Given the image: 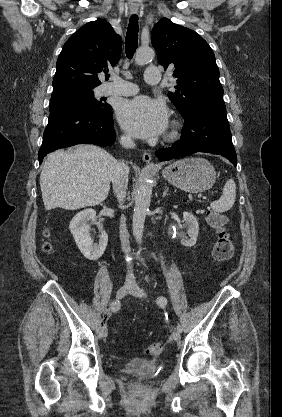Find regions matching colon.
<instances>
[{
    "label": "colon",
    "mask_w": 282,
    "mask_h": 417,
    "mask_svg": "<svg viewBox=\"0 0 282 417\" xmlns=\"http://www.w3.org/2000/svg\"><path fill=\"white\" fill-rule=\"evenodd\" d=\"M206 221L216 234L213 246L215 263L221 264L229 261L234 252V245L231 237L227 233L228 218L221 212L211 210L206 214ZM162 350V343L153 342L147 346L146 353L149 357L156 358L161 354Z\"/></svg>",
    "instance_id": "obj_1"
}]
</instances>
